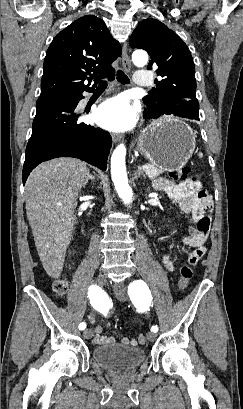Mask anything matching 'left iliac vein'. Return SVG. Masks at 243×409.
<instances>
[{
  "mask_svg": "<svg viewBox=\"0 0 243 409\" xmlns=\"http://www.w3.org/2000/svg\"><path fill=\"white\" fill-rule=\"evenodd\" d=\"M113 290L115 296L120 300V301H125L127 299V289L124 284H114L113 285ZM147 339L149 341H154L156 339V333L154 332H148L147 333Z\"/></svg>",
  "mask_w": 243,
  "mask_h": 409,
  "instance_id": "4c4485c4",
  "label": "left iliac vein"
}]
</instances>
